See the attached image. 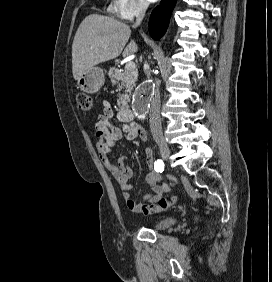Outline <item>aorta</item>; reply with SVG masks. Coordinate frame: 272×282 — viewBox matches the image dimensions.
Returning <instances> with one entry per match:
<instances>
[{
	"instance_id": "762f6f07",
	"label": "aorta",
	"mask_w": 272,
	"mask_h": 282,
	"mask_svg": "<svg viewBox=\"0 0 272 282\" xmlns=\"http://www.w3.org/2000/svg\"><path fill=\"white\" fill-rule=\"evenodd\" d=\"M149 90L150 85L144 84L138 91V94L135 98V108L139 113H142L145 109Z\"/></svg>"
}]
</instances>
